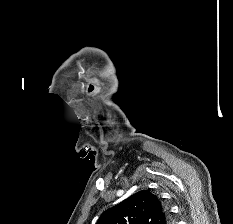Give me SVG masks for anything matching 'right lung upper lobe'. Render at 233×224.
<instances>
[{
  "label": "right lung upper lobe",
  "mask_w": 233,
  "mask_h": 224,
  "mask_svg": "<svg viewBox=\"0 0 233 224\" xmlns=\"http://www.w3.org/2000/svg\"><path fill=\"white\" fill-rule=\"evenodd\" d=\"M173 220L158 197L139 191L106 210L96 224H172Z\"/></svg>",
  "instance_id": "obj_1"
}]
</instances>
